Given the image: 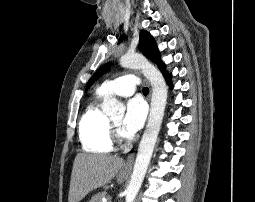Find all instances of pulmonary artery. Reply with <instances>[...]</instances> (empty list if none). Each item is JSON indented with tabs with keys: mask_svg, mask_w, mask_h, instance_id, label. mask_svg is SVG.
<instances>
[{
	"mask_svg": "<svg viewBox=\"0 0 255 202\" xmlns=\"http://www.w3.org/2000/svg\"><path fill=\"white\" fill-rule=\"evenodd\" d=\"M139 83L135 75L128 74L120 76L113 80L105 81L97 90L98 95L105 97L109 95H117L122 97L131 96Z\"/></svg>",
	"mask_w": 255,
	"mask_h": 202,
	"instance_id": "pulmonary-artery-1",
	"label": "pulmonary artery"
}]
</instances>
